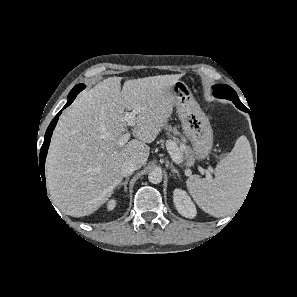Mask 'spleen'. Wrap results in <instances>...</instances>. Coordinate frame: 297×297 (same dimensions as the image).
Instances as JSON below:
<instances>
[{
    "instance_id": "obj_1",
    "label": "spleen",
    "mask_w": 297,
    "mask_h": 297,
    "mask_svg": "<svg viewBox=\"0 0 297 297\" xmlns=\"http://www.w3.org/2000/svg\"><path fill=\"white\" fill-rule=\"evenodd\" d=\"M253 167L250 144L241 136L232 151L217 164L214 179L193 175L187 179V188L203 211L223 217L240 206L249 188Z\"/></svg>"
}]
</instances>
